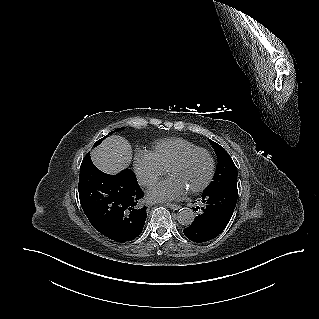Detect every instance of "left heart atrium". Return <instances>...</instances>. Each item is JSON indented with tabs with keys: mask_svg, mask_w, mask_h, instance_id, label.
Returning <instances> with one entry per match:
<instances>
[{
	"mask_svg": "<svg viewBox=\"0 0 319 319\" xmlns=\"http://www.w3.org/2000/svg\"><path fill=\"white\" fill-rule=\"evenodd\" d=\"M187 192V188L178 179L170 177L155 185L147 191L149 201H172L180 199Z\"/></svg>",
	"mask_w": 319,
	"mask_h": 319,
	"instance_id": "1",
	"label": "left heart atrium"
}]
</instances>
